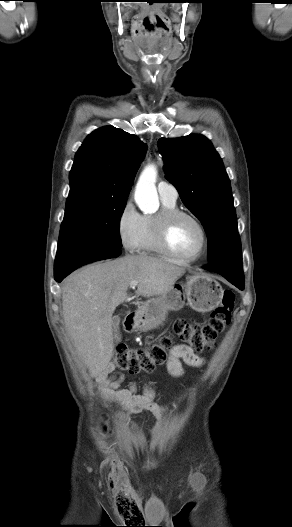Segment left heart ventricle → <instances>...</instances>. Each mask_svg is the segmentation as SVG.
Returning <instances> with one entry per match:
<instances>
[{"label": "left heart ventricle", "mask_w": 292, "mask_h": 527, "mask_svg": "<svg viewBox=\"0 0 292 527\" xmlns=\"http://www.w3.org/2000/svg\"><path fill=\"white\" fill-rule=\"evenodd\" d=\"M169 242L179 255L192 257L201 248L202 236L194 221L180 217L173 222L170 228Z\"/></svg>", "instance_id": "b2bd125f"}]
</instances>
